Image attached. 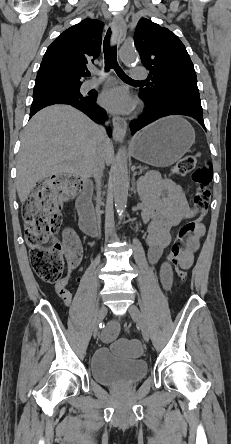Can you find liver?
I'll return each mask as SVG.
<instances>
[{"instance_id":"1","label":"liver","mask_w":231,"mask_h":444,"mask_svg":"<svg viewBox=\"0 0 231 444\" xmlns=\"http://www.w3.org/2000/svg\"><path fill=\"white\" fill-rule=\"evenodd\" d=\"M113 144L101 139L100 127L67 105L48 106L37 112L21 134L16 187L24 203L36 183L53 175L89 178L100 156L113 159Z\"/></svg>"}]
</instances>
